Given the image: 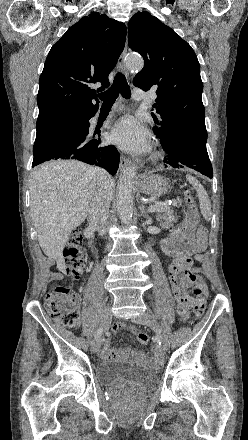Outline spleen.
<instances>
[{
	"label": "spleen",
	"mask_w": 248,
	"mask_h": 440,
	"mask_svg": "<svg viewBox=\"0 0 248 440\" xmlns=\"http://www.w3.org/2000/svg\"><path fill=\"white\" fill-rule=\"evenodd\" d=\"M186 178L193 185V187L195 188L198 194L199 207L201 210V214L203 215V218L206 221H209L211 219L212 213H211L210 200L206 190L204 189L203 185L192 175H187Z\"/></svg>",
	"instance_id": "3e777b00"
}]
</instances>
